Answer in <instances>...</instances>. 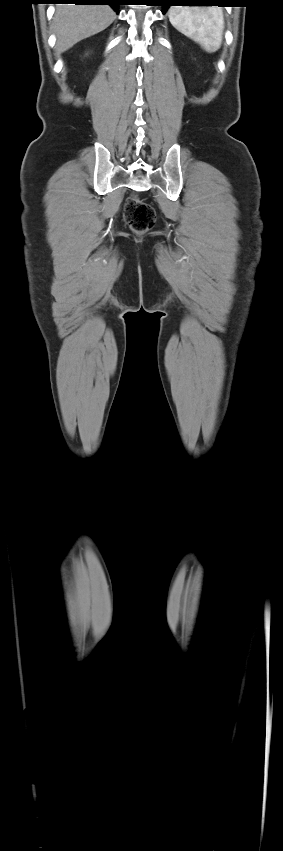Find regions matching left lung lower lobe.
<instances>
[{"mask_svg":"<svg viewBox=\"0 0 283 851\" xmlns=\"http://www.w3.org/2000/svg\"><path fill=\"white\" fill-rule=\"evenodd\" d=\"M226 2V0H159V5L163 6V13L167 11V9L172 5H217L224 6L221 3Z\"/></svg>","mask_w":283,"mask_h":851,"instance_id":"obj_1","label":"left lung lower lobe"}]
</instances>
